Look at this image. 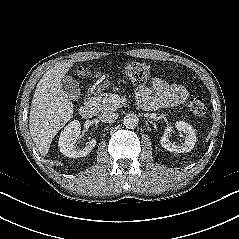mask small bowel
<instances>
[{"instance_id": "1", "label": "small bowel", "mask_w": 239, "mask_h": 239, "mask_svg": "<svg viewBox=\"0 0 239 239\" xmlns=\"http://www.w3.org/2000/svg\"><path fill=\"white\" fill-rule=\"evenodd\" d=\"M187 95L185 87L170 84L159 77L152 79L150 87L140 86L136 90L141 107L152 110L180 104L187 98Z\"/></svg>"}]
</instances>
